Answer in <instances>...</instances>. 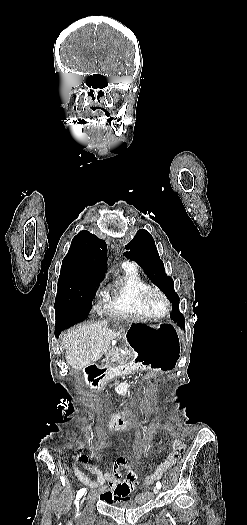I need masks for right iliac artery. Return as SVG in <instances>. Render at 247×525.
Listing matches in <instances>:
<instances>
[{
    "label": "right iliac artery",
    "mask_w": 247,
    "mask_h": 525,
    "mask_svg": "<svg viewBox=\"0 0 247 525\" xmlns=\"http://www.w3.org/2000/svg\"><path fill=\"white\" fill-rule=\"evenodd\" d=\"M86 489L85 488H82L80 489L78 492H77V495H76V500H75V504L78 502V500L83 496V494L85 493Z\"/></svg>",
    "instance_id": "82829eb1"
}]
</instances>
